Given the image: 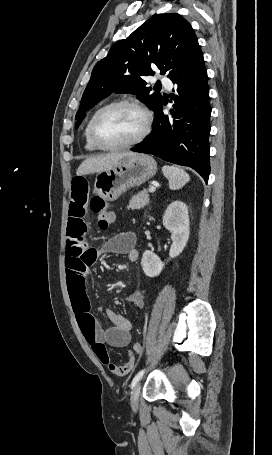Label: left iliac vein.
Segmentation results:
<instances>
[{"mask_svg": "<svg viewBox=\"0 0 272 455\" xmlns=\"http://www.w3.org/2000/svg\"><path fill=\"white\" fill-rule=\"evenodd\" d=\"M140 390H141V383L139 382L136 387L134 388L132 395H131V406L132 408H137L138 406V400H139V395H140Z\"/></svg>", "mask_w": 272, "mask_h": 455, "instance_id": "1", "label": "left iliac vein"}]
</instances>
